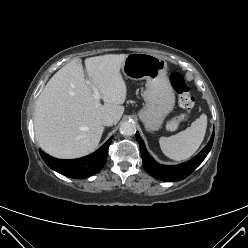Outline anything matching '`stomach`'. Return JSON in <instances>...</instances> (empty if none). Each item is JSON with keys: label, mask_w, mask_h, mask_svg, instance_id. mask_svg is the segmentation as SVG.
I'll return each mask as SVG.
<instances>
[{"label": "stomach", "mask_w": 248, "mask_h": 248, "mask_svg": "<svg viewBox=\"0 0 248 248\" xmlns=\"http://www.w3.org/2000/svg\"><path fill=\"white\" fill-rule=\"evenodd\" d=\"M120 70L130 79L146 80L143 93L146 104L139 118L147 131L158 130L175 105V94L167 77V62L157 55L131 53Z\"/></svg>", "instance_id": "0dacf381"}]
</instances>
